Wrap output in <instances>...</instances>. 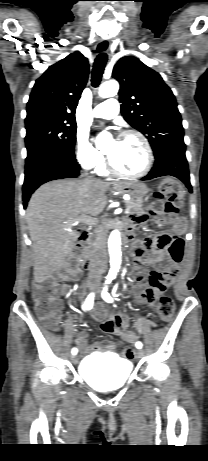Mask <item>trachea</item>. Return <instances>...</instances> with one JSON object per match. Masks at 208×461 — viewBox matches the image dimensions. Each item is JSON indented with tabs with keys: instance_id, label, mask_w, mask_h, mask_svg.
I'll return each instance as SVG.
<instances>
[{
	"instance_id": "1",
	"label": "trachea",
	"mask_w": 208,
	"mask_h": 461,
	"mask_svg": "<svg viewBox=\"0 0 208 461\" xmlns=\"http://www.w3.org/2000/svg\"><path fill=\"white\" fill-rule=\"evenodd\" d=\"M107 62V55L105 53L99 54L94 62L92 71V86L97 87L101 81L102 74Z\"/></svg>"
}]
</instances>
